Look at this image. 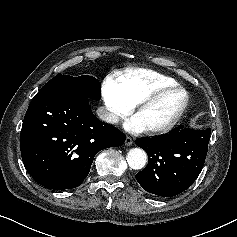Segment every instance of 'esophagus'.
Segmentation results:
<instances>
[{
	"label": "esophagus",
	"instance_id": "34e87169",
	"mask_svg": "<svg viewBox=\"0 0 237 237\" xmlns=\"http://www.w3.org/2000/svg\"><path fill=\"white\" fill-rule=\"evenodd\" d=\"M133 144V139L129 136H126L125 138V145L126 146H131Z\"/></svg>",
	"mask_w": 237,
	"mask_h": 237
}]
</instances>
